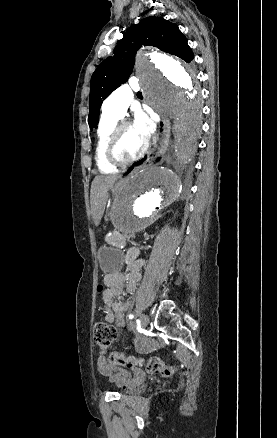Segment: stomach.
I'll return each mask as SVG.
<instances>
[{"label": "stomach", "instance_id": "obj_1", "mask_svg": "<svg viewBox=\"0 0 277 438\" xmlns=\"http://www.w3.org/2000/svg\"><path fill=\"white\" fill-rule=\"evenodd\" d=\"M117 191V189H114ZM98 260L104 273H113L120 270L122 266V253L120 250L103 246L98 250Z\"/></svg>", "mask_w": 277, "mask_h": 438}]
</instances>
